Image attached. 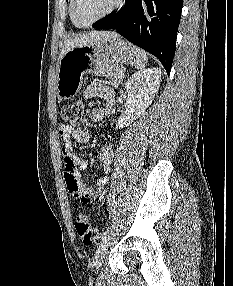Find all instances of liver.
Returning a JSON list of instances; mask_svg holds the SVG:
<instances>
[{"label":"liver","mask_w":233,"mask_h":286,"mask_svg":"<svg viewBox=\"0 0 233 286\" xmlns=\"http://www.w3.org/2000/svg\"><path fill=\"white\" fill-rule=\"evenodd\" d=\"M118 37L117 33L112 31H91L89 33L76 35L65 41L64 47L60 52L59 58H61L70 49L78 46H82L88 43L97 42L103 38Z\"/></svg>","instance_id":"obj_1"}]
</instances>
